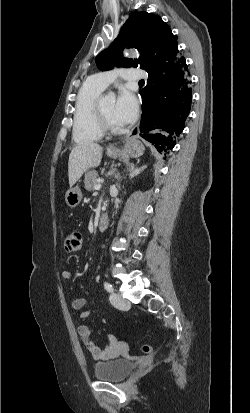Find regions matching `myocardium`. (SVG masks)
<instances>
[{"label":"myocardium","instance_id":"obj_1","mask_svg":"<svg viewBox=\"0 0 250 413\" xmlns=\"http://www.w3.org/2000/svg\"><path fill=\"white\" fill-rule=\"evenodd\" d=\"M95 110H96V115L98 118L100 128L102 129L103 133L104 132L115 133L119 131L118 125L113 123L104 113L100 100H97Z\"/></svg>","mask_w":250,"mask_h":413}]
</instances>
